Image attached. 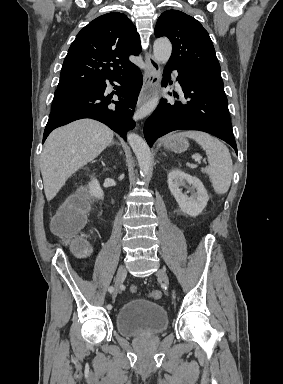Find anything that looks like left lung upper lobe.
<instances>
[{"label":"left lung upper lobe","instance_id":"obj_1","mask_svg":"<svg viewBox=\"0 0 283 384\" xmlns=\"http://www.w3.org/2000/svg\"><path fill=\"white\" fill-rule=\"evenodd\" d=\"M155 36H165L172 43L167 66L191 76L223 82L213 43L195 18L179 10H167L158 18Z\"/></svg>","mask_w":283,"mask_h":384}]
</instances>
